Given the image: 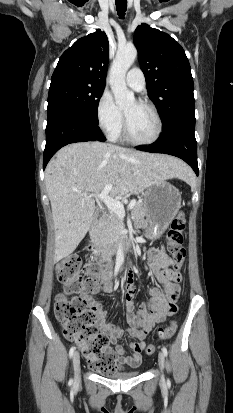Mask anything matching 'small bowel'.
<instances>
[{
	"label": "small bowel",
	"instance_id": "small-bowel-1",
	"mask_svg": "<svg viewBox=\"0 0 233 413\" xmlns=\"http://www.w3.org/2000/svg\"><path fill=\"white\" fill-rule=\"evenodd\" d=\"M140 226H143V223H140ZM149 257L148 269L163 284V288H151L149 290L151 301L138 305L133 300L135 289L132 285V279L129 278L128 280L124 292V308L129 324L127 333L137 340L129 344V348L132 350L131 355H126L125 348L118 343V340L124 335V331L119 326L108 322L107 311L92 295H84L89 308L95 315L100 330L104 335L108 336L110 342L114 345L116 364L119 367L129 366L135 368L139 366L142 362V352L145 347L144 340L147 334L155 324L162 322L167 316L177 311H173L170 308H175L179 300L180 274H172L169 269L172 265V260L162 249H151ZM111 290L112 284L109 280V275L106 274L98 279L93 291L97 293L99 291L110 292Z\"/></svg>",
	"mask_w": 233,
	"mask_h": 413
}]
</instances>
